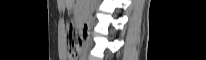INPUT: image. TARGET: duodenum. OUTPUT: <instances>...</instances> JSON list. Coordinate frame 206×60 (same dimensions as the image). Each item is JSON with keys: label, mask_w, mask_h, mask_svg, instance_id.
Returning a JSON list of instances; mask_svg holds the SVG:
<instances>
[{"label": "duodenum", "mask_w": 206, "mask_h": 60, "mask_svg": "<svg viewBox=\"0 0 206 60\" xmlns=\"http://www.w3.org/2000/svg\"><path fill=\"white\" fill-rule=\"evenodd\" d=\"M81 30H82V32H83L84 35H87L88 32H89V24H83V25L81 26Z\"/></svg>", "instance_id": "1"}]
</instances>
